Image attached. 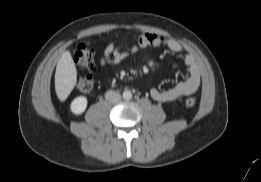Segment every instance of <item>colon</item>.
I'll list each match as a JSON object with an SVG mask.
<instances>
[{
    "instance_id": "obj_1",
    "label": "colon",
    "mask_w": 261,
    "mask_h": 182,
    "mask_svg": "<svg viewBox=\"0 0 261 182\" xmlns=\"http://www.w3.org/2000/svg\"><path fill=\"white\" fill-rule=\"evenodd\" d=\"M75 62L88 73L77 79V89L82 93H92L94 90V79L91 72L94 69L93 52L87 44H80L75 52ZM196 104L194 97H188L185 100L187 107H193Z\"/></svg>"
}]
</instances>
